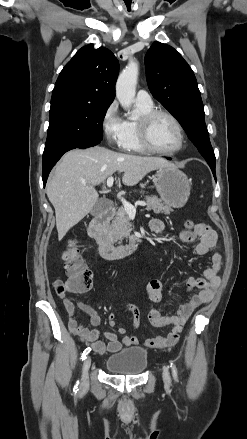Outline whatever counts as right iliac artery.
I'll list each match as a JSON object with an SVG mask.
<instances>
[{
  "mask_svg": "<svg viewBox=\"0 0 247 439\" xmlns=\"http://www.w3.org/2000/svg\"><path fill=\"white\" fill-rule=\"evenodd\" d=\"M90 351H91V348H90V347H87V348L83 351V353H82V355H81V360H84V359L86 358L87 354H88ZM78 384H79V382L77 381V384L74 386V389H73V391H74L75 393L79 390V388H78Z\"/></svg>",
  "mask_w": 247,
  "mask_h": 439,
  "instance_id": "1",
  "label": "right iliac artery"
}]
</instances>
